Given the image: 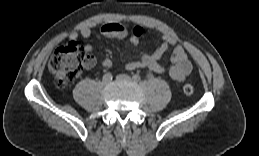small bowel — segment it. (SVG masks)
Masks as SVG:
<instances>
[{
	"label": "small bowel",
	"instance_id": "obj_1",
	"mask_svg": "<svg viewBox=\"0 0 259 156\" xmlns=\"http://www.w3.org/2000/svg\"><path fill=\"white\" fill-rule=\"evenodd\" d=\"M99 33L107 38L124 39L128 38L131 44L138 46L139 60L132 58L126 64L128 70L146 68L157 73L168 72L170 77L176 81H183L192 71V64L188 59L185 49L178 44L175 37L169 34H162L160 43L156 49L149 53L140 46L139 37L135 36L125 26L109 22L101 26ZM92 35L91 28H83L79 32H73L70 35L71 40H76L78 37L89 38ZM173 47L171 56V65L165 67L161 64V59L166 51ZM85 51L91 52L93 47L89 44L84 46ZM102 65L106 68L112 65L110 58L106 57L102 60Z\"/></svg>",
	"mask_w": 259,
	"mask_h": 156
}]
</instances>
